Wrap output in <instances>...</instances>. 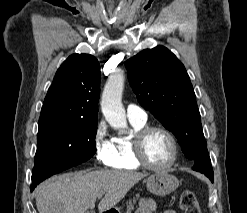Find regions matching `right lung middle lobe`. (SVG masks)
I'll return each mask as SVG.
<instances>
[{"label":"right lung middle lobe","mask_w":247,"mask_h":213,"mask_svg":"<svg viewBox=\"0 0 247 213\" xmlns=\"http://www.w3.org/2000/svg\"><path fill=\"white\" fill-rule=\"evenodd\" d=\"M97 123L68 120L39 122L33 183L90 159L96 152Z\"/></svg>","instance_id":"right-lung-middle-lobe-1"}]
</instances>
